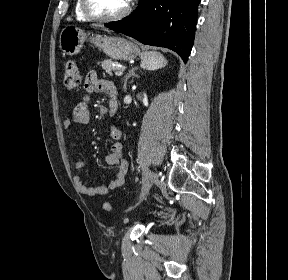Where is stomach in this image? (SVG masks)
Segmentation results:
<instances>
[{
    "instance_id": "obj_1",
    "label": "stomach",
    "mask_w": 288,
    "mask_h": 280,
    "mask_svg": "<svg viewBox=\"0 0 288 280\" xmlns=\"http://www.w3.org/2000/svg\"><path fill=\"white\" fill-rule=\"evenodd\" d=\"M88 35L74 25L65 26L60 34V48L67 55L80 52ZM89 41L114 60H132L140 55L137 45L125 38L118 36H92Z\"/></svg>"
}]
</instances>
